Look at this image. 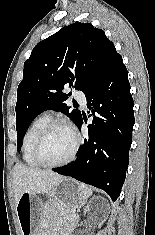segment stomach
<instances>
[{
    "label": "stomach",
    "instance_id": "obj_1",
    "mask_svg": "<svg viewBox=\"0 0 155 235\" xmlns=\"http://www.w3.org/2000/svg\"><path fill=\"white\" fill-rule=\"evenodd\" d=\"M47 196L45 203L36 194L24 193L20 197L16 213L22 235H46L44 221L47 205L58 212L60 207L71 210L80 208L86 202V196L79 183L66 177L62 178Z\"/></svg>",
    "mask_w": 155,
    "mask_h": 235
}]
</instances>
